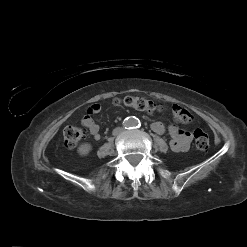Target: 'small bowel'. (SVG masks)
Instances as JSON below:
<instances>
[{
    "label": "small bowel",
    "instance_id": "small-bowel-1",
    "mask_svg": "<svg viewBox=\"0 0 247 247\" xmlns=\"http://www.w3.org/2000/svg\"><path fill=\"white\" fill-rule=\"evenodd\" d=\"M101 107L99 104H92L87 111V114L81 119V124L87 129L90 135L95 139H100V128L98 124L93 120L92 115L97 114ZM151 129L157 134H163L165 132V126L160 121H155L151 124ZM168 133L171 137L170 148L174 152H185L189 149L192 134L189 131L181 130L176 125H170L168 127Z\"/></svg>",
    "mask_w": 247,
    "mask_h": 247
}]
</instances>
